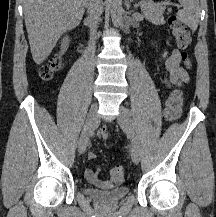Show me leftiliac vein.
I'll list each match as a JSON object with an SVG mask.
<instances>
[{
    "label": "left iliac vein",
    "mask_w": 216,
    "mask_h": 217,
    "mask_svg": "<svg viewBox=\"0 0 216 217\" xmlns=\"http://www.w3.org/2000/svg\"><path fill=\"white\" fill-rule=\"evenodd\" d=\"M117 120L120 127L131 138L132 141L131 149H130L131 158L135 164H138L140 160V147L137 138L135 136L134 125L129 110L126 107L120 106V114Z\"/></svg>",
    "instance_id": "1"
}]
</instances>
